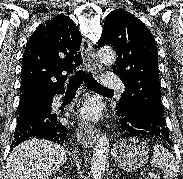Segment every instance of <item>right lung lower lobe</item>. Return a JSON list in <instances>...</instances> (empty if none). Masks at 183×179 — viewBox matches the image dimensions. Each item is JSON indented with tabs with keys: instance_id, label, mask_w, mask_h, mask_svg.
I'll use <instances>...</instances> for the list:
<instances>
[{
	"instance_id": "1",
	"label": "right lung lower lobe",
	"mask_w": 183,
	"mask_h": 179,
	"mask_svg": "<svg viewBox=\"0 0 183 179\" xmlns=\"http://www.w3.org/2000/svg\"><path fill=\"white\" fill-rule=\"evenodd\" d=\"M64 90H42L35 95L24 112L19 115L12 148L31 138H43L63 145L68 129L60 123V115L51 113L53 97Z\"/></svg>"
}]
</instances>
